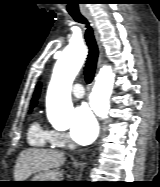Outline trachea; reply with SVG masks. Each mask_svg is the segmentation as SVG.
Instances as JSON below:
<instances>
[{"label":"trachea","instance_id":"1","mask_svg":"<svg viewBox=\"0 0 160 187\" xmlns=\"http://www.w3.org/2000/svg\"><path fill=\"white\" fill-rule=\"evenodd\" d=\"M74 20L78 23L85 24V40L88 46V57L84 67L85 81L89 84L92 82L98 61V47L94 38L93 30L88 21L84 17H77Z\"/></svg>","mask_w":160,"mask_h":187}]
</instances>
